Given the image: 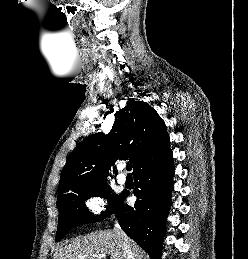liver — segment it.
<instances>
[{"label": "liver", "instance_id": "liver-1", "mask_svg": "<svg viewBox=\"0 0 248 259\" xmlns=\"http://www.w3.org/2000/svg\"><path fill=\"white\" fill-rule=\"evenodd\" d=\"M134 259H142L141 248L128 239ZM110 255V259H125L123 238L112 230L92 232L60 247L53 259H99V255Z\"/></svg>", "mask_w": 248, "mask_h": 259}]
</instances>
